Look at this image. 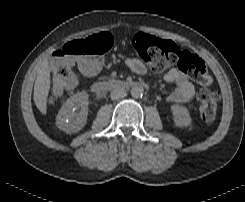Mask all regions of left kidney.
Returning a JSON list of instances; mask_svg holds the SVG:
<instances>
[{"label": "left kidney", "mask_w": 245, "mask_h": 202, "mask_svg": "<svg viewBox=\"0 0 245 202\" xmlns=\"http://www.w3.org/2000/svg\"><path fill=\"white\" fill-rule=\"evenodd\" d=\"M173 120L178 127H188L191 125V117L186 107L180 105H173L171 107Z\"/></svg>", "instance_id": "left-kidney-1"}]
</instances>
